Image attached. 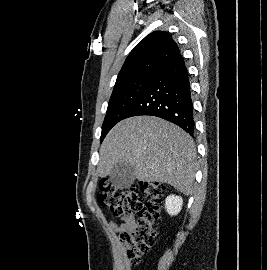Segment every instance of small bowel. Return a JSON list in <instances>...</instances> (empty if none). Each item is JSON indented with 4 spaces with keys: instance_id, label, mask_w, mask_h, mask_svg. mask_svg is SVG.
<instances>
[{
    "instance_id": "c3829d8e",
    "label": "small bowel",
    "mask_w": 267,
    "mask_h": 270,
    "mask_svg": "<svg viewBox=\"0 0 267 270\" xmlns=\"http://www.w3.org/2000/svg\"><path fill=\"white\" fill-rule=\"evenodd\" d=\"M134 216L132 214L123 216L120 219V224L117 222H111L110 227L113 231L115 232H120L121 230L127 228L128 226L131 225V223L134 221Z\"/></svg>"
}]
</instances>
